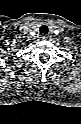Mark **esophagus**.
I'll return each instance as SVG.
<instances>
[{
    "instance_id": "obj_1",
    "label": "esophagus",
    "mask_w": 81,
    "mask_h": 124,
    "mask_svg": "<svg viewBox=\"0 0 81 124\" xmlns=\"http://www.w3.org/2000/svg\"><path fill=\"white\" fill-rule=\"evenodd\" d=\"M49 38H50V36L47 35V34L41 35V39H43V40H47V39H49Z\"/></svg>"
}]
</instances>
